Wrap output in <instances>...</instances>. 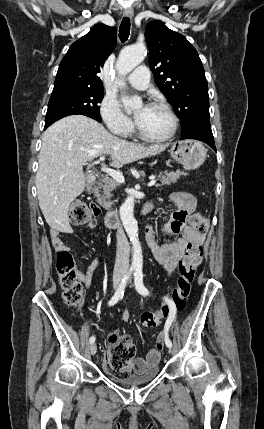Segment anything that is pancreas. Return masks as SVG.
I'll use <instances>...</instances> for the list:
<instances>
[{"instance_id": "cf45deb5", "label": "pancreas", "mask_w": 264, "mask_h": 429, "mask_svg": "<svg viewBox=\"0 0 264 429\" xmlns=\"http://www.w3.org/2000/svg\"><path fill=\"white\" fill-rule=\"evenodd\" d=\"M185 175L184 172L177 170L174 171H165L161 172L157 178L160 180L162 185H170L177 182V180L182 176ZM118 185V182L111 178V177H105L99 180L93 188H89L90 192H93L95 196L98 198L97 202L105 209H109L113 202L110 200L112 197V192L115 190L116 186ZM157 187L160 186V184L156 185Z\"/></svg>"}]
</instances>
